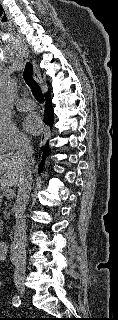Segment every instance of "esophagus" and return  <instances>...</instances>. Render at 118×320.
<instances>
[{
  "mask_svg": "<svg viewBox=\"0 0 118 320\" xmlns=\"http://www.w3.org/2000/svg\"><path fill=\"white\" fill-rule=\"evenodd\" d=\"M34 77L38 82H41V75L35 63H34ZM49 136H50V127L46 125L44 128V132L40 138L39 146H44Z\"/></svg>",
  "mask_w": 118,
  "mask_h": 320,
  "instance_id": "34e87169",
  "label": "esophagus"
}]
</instances>
